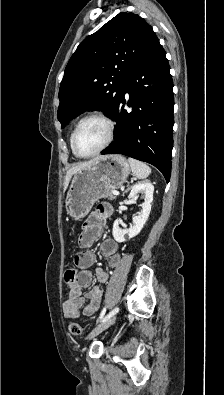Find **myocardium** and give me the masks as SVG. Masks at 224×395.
<instances>
[{"instance_id": "f54148a6", "label": "myocardium", "mask_w": 224, "mask_h": 395, "mask_svg": "<svg viewBox=\"0 0 224 395\" xmlns=\"http://www.w3.org/2000/svg\"><path fill=\"white\" fill-rule=\"evenodd\" d=\"M92 119L99 120L106 125L107 138H106L105 142L97 150H95L94 152H92L90 154L83 155V154L79 153L77 146H76L77 134L79 132L80 127L86 121L92 120ZM114 137H115V122L108 115H106L102 112H92V113L85 115L77 122L75 129L72 133V151H73L74 155L78 158L86 159V158L94 157V156L98 155L100 152H102L103 150H105L112 143V141L114 140Z\"/></svg>"}]
</instances>
